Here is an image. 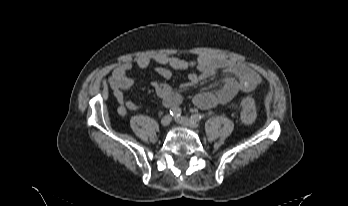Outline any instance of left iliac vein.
Returning a JSON list of instances; mask_svg holds the SVG:
<instances>
[{
	"mask_svg": "<svg viewBox=\"0 0 348 206\" xmlns=\"http://www.w3.org/2000/svg\"><path fill=\"white\" fill-rule=\"evenodd\" d=\"M175 121L185 127L191 128V129H196L199 127V124L195 121H192L188 117H177L175 118Z\"/></svg>",
	"mask_w": 348,
	"mask_h": 206,
	"instance_id": "left-iliac-vein-1",
	"label": "left iliac vein"
}]
</instances>
